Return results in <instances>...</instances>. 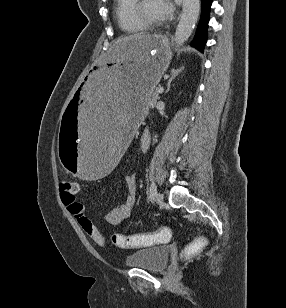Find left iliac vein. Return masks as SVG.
Instances as JSON below:
<instances>
[{
	"label": "left iliac vein",
	"mask_w": 286,
	"mask_h": 308,
	"mask_svg": "<svg viewBox=\"0 0 286 308\" xmlns=\"http://www.w3.org/2000/svg\"><path fill=\"white\" fill-rule=\"evenodd\" d=\"M154 201L156 203H162L163 202V195L159 192H157L155 195H154Z\"/></svg>",
	"instance_id": "left-iliac-vein-1"
}]
</instances>
